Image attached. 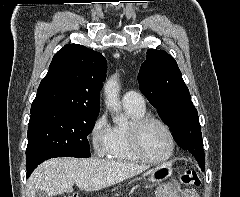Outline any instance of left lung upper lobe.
Listing matches in <instances>:
<instances>
[{"mask_svg":"<svg viewBox=\"0 0 240 197\" xmlns=\"http://www.w3.org/2000/svg\"><path fill=\"white\" fill-rule=\"evenodd\" d=\"M146 54L138 74L140 91L157 108L179 146L190 151L198 163L204 162L198 112L176 61L164 50L148 49Z\"/></svg>","mask_w":240,"mask_h":197,"instance_id":"1","label":"left lung upper lobe"}]
</instances>
